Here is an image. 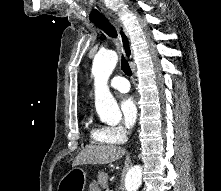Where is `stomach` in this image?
<instances>
[{
    "instance_id": "0dacf381",
    "label": "stomach",
    "mask_w": 221,
    "mask_h": 191,
    "mask_svg": "<svg viewBox=\"0 0 221 191\" xmlns=\"http://www.w3.org/2000/svg\"><path fill=\"white\" fill-rule=\"evenodd\" d=\"M85 185V171L79 167H74L60 180L58 191H83Z\"/></svg>"
}]
</instances>
